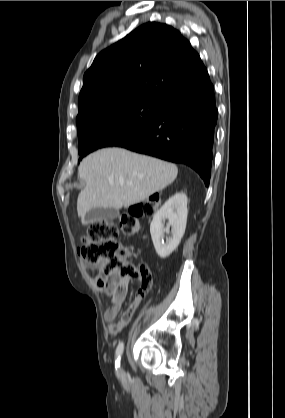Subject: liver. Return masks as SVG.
Returning a JSON list of instances; mask_svg holds the SVG:
<instances>
[{
    "mask_svg": "<svg viewBox=\"0 0 285 418\" xmlns=\"http://www.w3.org/2000/svg\"><path fill=\"white\" fill-rule=\"evenodd\" d=\"M177 174L176 165L150 156L115 147L98 150L78 168L86 184L78 195V215L97 207L127 208L167 187Z\"/></svg>",
    "mask_w": 285,
    "mask_h": 418,
    "instance_id": "6515ba94",
    "label": "liver"
}]
</instances>
